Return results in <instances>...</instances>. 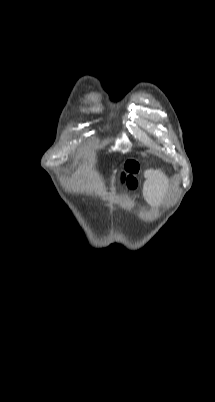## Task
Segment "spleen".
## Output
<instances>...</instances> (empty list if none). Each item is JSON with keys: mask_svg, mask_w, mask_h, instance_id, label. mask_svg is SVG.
<instances>
[{"mask_svg": "<svg viewBox=\"0 0 215 402\" xmlns=\"http://www.w3.org/2000/svg\"><path fill=\"white\" fill-rule=\"evenodd\" d=\"M156 176V173H151V172H146V177L148 178L147 184L153 180V178ZM148 203L151 204V208H156V197L159 196L160 191L159 189L155 188L154 185L149 184L146 187L145 191Z\"/></svg>", "mask_w": 215, "mask_h": 402, "instance_id": "3e777b00", "label": "spleen"}]
</instances>
